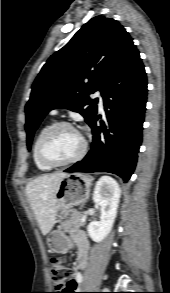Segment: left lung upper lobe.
I'll return each mask as SVG.
<instances>
[{
  "mask_svg": "<svg viewBox=\"0 0 170 293\" xmlns=\"http://www.w3.org/2000/svg\"><path fill=\"white\" fill-rule=\"evenodd\" d=\"M134 46L132 38L117 21L96 16L54 53L35 79L26 104L27 146L34 132L52 109L66 108L84 116L90 124L97 113V99L106 83Z\"/></svg>",
  "mask_w": 170,
  "mask_h": 293,
  "instance_id": "left-lung-upper-lobe-1",
  "label": "left lung upper lobe"
}]
</instances>
